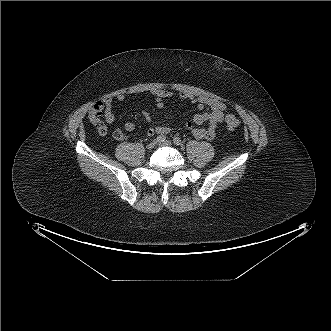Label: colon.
<instances>
[{"instance_id":"obj_1","label":"colon","mask_w":331,"mask_h":331,"mask_svg":"<svg viewBox=\"0 0 331 331\" xmlns=\"http://www.w3.org/2000/svg\"><path fill=\"white\" fill-rule=\"evenodd\" d=\"M224 121H225L227 128L230 130L236 129L239 125L238 118L234 114H231L228 112L225 114ZM97 126H98V130L101 134L106 133V127L104 125L98 124Z\"/></svg>"}]
</instances>
